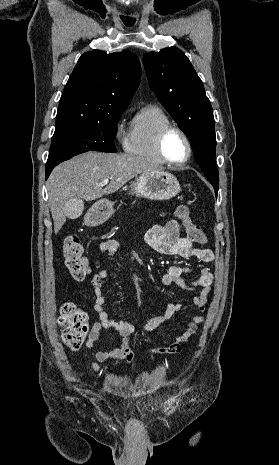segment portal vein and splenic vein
Instances as JSON below:
<instances>
[{
	"label": "portal vein and splenic vein",
	"mask_w": 279,
	"mask_h": 465,
	"mask_svg": "<svg viewBox=\"0 0 279 465\" xmlns=\"http://www.w3.org/2000/svg\"><path fill=\"white\" fill-rule=\"evenodd\" d=\"M108 182H109V180L106 179V180H104V181L100 184V186H104V185H106Z\"/></svg>",
	"instance_id": "portal-vein-and-splenic-vein-1"
}]
</instances>
